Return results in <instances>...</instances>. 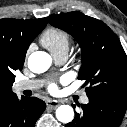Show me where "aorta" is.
<instances>
[{
  "mask_svg": "<svg viewBox=\"0 0 127 127\" xmlns=\"http://www.w3.org/2000/svg\"><path fill=\"white\" fill-rule=\"evenodd\" d=\"M51 56L43 51L33 52L28 58V68L34 73H43L51 66ZM56 118L62 123H69L74 118V110L69 105H61L56 109Z\"/></svg>",
  "mask_w": 127,
  "mask_h": 127,
  "instance_id": "1",
  "label": "aorta"
}]
</instances>
